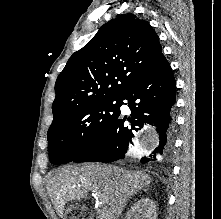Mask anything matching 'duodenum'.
<instances>
[{"instance_id":"obj_1","label":"duodenum","mask_w":221,"mask_h":219,"mask_svg":"<svg viewBox=\"0 0 221 219\" xmlns=\"http://www.w3.org/2000/svg\"><path fill=\"white\" fill-rule=\"evenodd\" d=\"M98 218L99 219H112L111 217H109L107 214H105L102 211H98Z\"/></svg>"}]
</instances>
